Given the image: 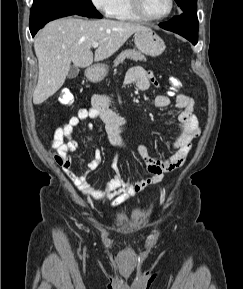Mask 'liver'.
Wrapping results in <instances>:
<instances>
[{
  "label": "liver",
  "mask_w": 243,
  "mask_h": 289,
  "mask_svg": "<svg viewBox=\"0 0 243 289\" xmlns=\"http://www.w3.org/2000/svg\"><path fill=\"white\" fill-rule=\"evenodd\" d=\"M146 27L110 19L61 18L49 22L37 35L34 50L39 75L33 103L41 104L64 84L71 68L89 67L113 55L134 33ZM99 42L93 53L92 43Z\"/></svg>",
  "instance_id": "1"
}]
</instances>
